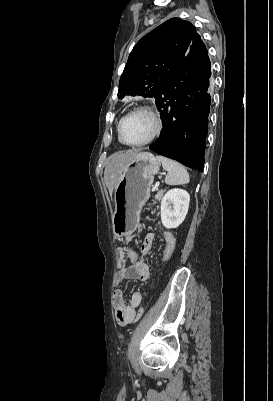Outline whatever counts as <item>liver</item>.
Instances as JSON below:
<instances>
[{
    "label": "liver",
    "mask_w": 273,
    "mask_h": 401,
    "mask_svg": "<svg viewBox=\"0 0 273 401\" xmlns=\"http://www.w3.org/2000/svg\"><path fill=\"white\" fill-rule=\"evenodd\" d=\"M140 154L141 152H139V150L133 148V150H120V152H115V154L109 156L104 170V180L110 196H112V192L117 182H119L122 168H124L128 162H131V160L138 158Z\"/></svg>",
    "instance_id": "1"
}]
</instances>
